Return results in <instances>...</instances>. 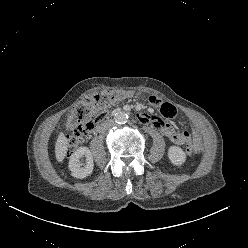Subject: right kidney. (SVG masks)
<instances>
[{
	"mask_svg": "<svg viewBox=\"0 0 248 248\" xmlns=\"http://www.w3.org/2000/svg\"><path fill=\"white\" fill-rule=\"evenodd\" d=\"M86 158L85 163H82L80 159ZM69 170L73 177L83 179L89 176L93 172L94 162L93 156L89 148L79 147L71 156L69 160Z\"/></svg>",
	"mask_w": 248,
	"mask_h": 248,
	"instance_id": "ca27d5eb",
	"label": "right kidney"
}]
</instances>
